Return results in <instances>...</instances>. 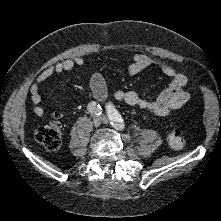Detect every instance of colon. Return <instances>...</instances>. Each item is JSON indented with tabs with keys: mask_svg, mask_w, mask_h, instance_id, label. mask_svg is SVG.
<instances>
[{
	"mask_svg": "<svg viewBox=\"0 0 221 221\" xmlns=\"http://www.w3.org/2000/svg\"><path fill=\"white\" fill-rule=\"evenodd\" d=\"M61 117L60 112H55L53 119L48 124L39 127L35 132L36 140L48 150H56L61 145ZM167 142L172 149H182L186 144L182 130L178 128L173 129L167 136Z\"/></svg>",
	"mask_w": 221,
	"mask_h": 221,
	"instance_id": "obj_1",
	"label": "colon"
}]
</instances>
